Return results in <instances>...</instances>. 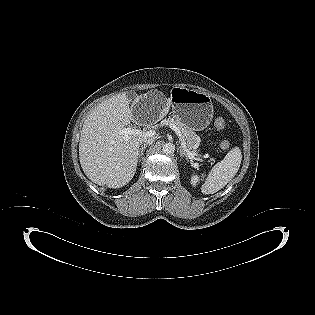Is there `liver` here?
Segmentation results:
<instances>
[{
    "label": "liver",
    "mask_w": 315,
    "mask_h": 315,
    "mask_svg": "<svg viewBox=\"0 0 315 315\" xmlns=\"http://www.w3.org/2000/svg\"><path fill=\"white\" fill-rule=\"evenodd\" d=\"M143 97L135 98L138 103ZM126 93L117 94L102 103L86 117L80 135L79 160L85 175L97 185L120 188L128 184L137 168L140 140L137 135L119 134L135 121ZM170 102L159 112L167 115Z\"/></svg>",
    "instance_id": "6515ba94"
}]
</instances>
